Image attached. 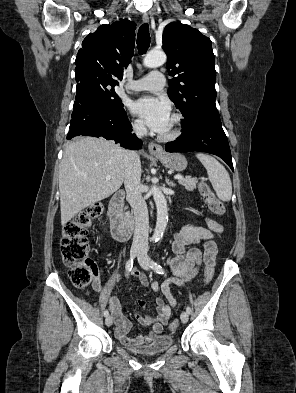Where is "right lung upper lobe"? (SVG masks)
Masks as SVG:
<instances>
[{"mask_svg":"<svg viewBox=\"0 0 296 393\" xmlns=\"http://www.w3.org/2000/svg\"><path fill=\"white\" fill-rule=\"evenodd\" d=\"M136 24L124 19L101 25L82 42L75 60L76 80L94 77L112 85L123 78L134 53Z\"/></svg>","mask_w":296,"mask_h":393,"instance_id":"right-lung-upper-lobe-1","label":"right lung upper lobe"}]
</instances>
